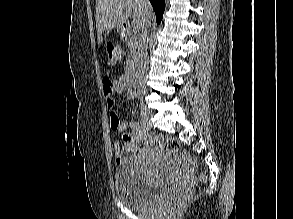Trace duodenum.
<instances>
[{"instance_id": "duodenum-1", "label": "duodenum", "mask_w": 293, "mask_h": 219, "mask_svg": "<svg viewBox=\"0 0 293 219\" xmlns=\"http://www.w3.org/2000/svg\"><path fill=\"white\" fill-rule=\"evenodd\" d=\"M121 37L124 41H128L131 38V31L129 27L123 26L121 29ZM126 84L133 88L138 86L137 69L136 67L131 68L125 76Z\"/></svg>"}]
</instances>
